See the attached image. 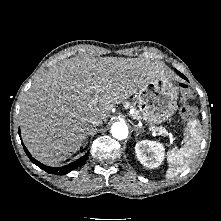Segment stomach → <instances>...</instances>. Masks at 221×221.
Returning <instances> with one entry per match:
<instances>
[{
	"label": "stomach",
	"instance_id": "stomach-1",
	"mask_svg": "<svg viewBox=\"0 0 221 221\" xmlns=\"http://www.w3.org/2000/svg\"><path fill=\"white\" fill-rule=\"evenodd\" d=\"M137 98L139 118L153 128L174 114L178 92L166 76H157L138 90Z\"/></svg>",
	"mask_w": 221,
	"mask_h": 221
}]
</instances>
